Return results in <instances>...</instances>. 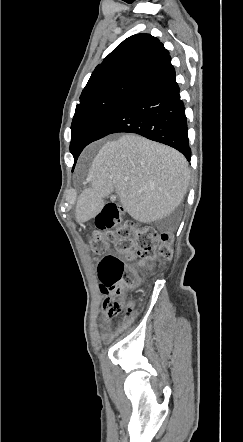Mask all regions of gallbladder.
Instances as JSON below:
<instances>
[{"label": "gallbladder", "mask_w": 243, "mask_h": 442, "mask_svg": "<svg viewBox=\"0 0 243 442\" xmlns=\"http://www.w3.org/2000/svg\"><path fill=\"white\" fill-rule=\"evenodd\" d=\"M109 199H119V196L117 193H108V195L104 196V203H108Z\"/></svg>", "instance_id": "1"}]
</instances>
